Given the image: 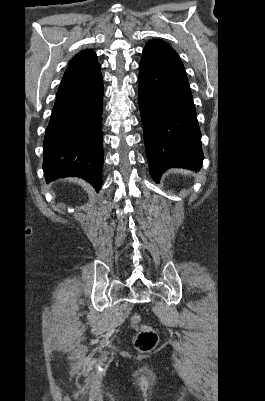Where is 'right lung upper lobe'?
<instances>
[{
	"label": "right lung upper lobe",
	"mask_w": 265,
	"mask_h": 401,
	"mask_svg": "<svg viewBox=\"0 0 265 401\" xmlns=\"http://www.w3.org/2000/svg\"><path fill=\"white\" fill-rule=\"evenodd\" d=\"M100 81H102L100 64L96 59L95 52L89 49L82 50L70 60L57 91V96L93 88Z\"/></svg>",
	"instance_id": "cb5924a9"
}]
</instances>
